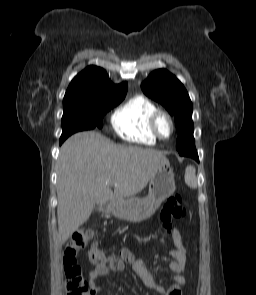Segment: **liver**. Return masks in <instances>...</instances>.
<instances>
[{
  "label": "liver",
  "mask_w": 256,
  "mask_h": 295,
  "mask_svg": "<svg viewBox=\"0 0 256 295\" xmlns=\"http://www.w3.org/2000/svg\"><path fill=\"white\" fill-rule=\"evenodd\" d=\"M161 152L115 144L95 131L69 137L57 163V218L61 244L90 217L96 204L122 203L141 192L167 162ZM110 186H114V192Z\"/></svg>",
  "instance_id": "liver-1"
}]
</instances>
